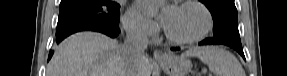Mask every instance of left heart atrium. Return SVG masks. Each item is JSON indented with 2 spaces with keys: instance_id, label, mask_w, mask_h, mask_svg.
<instances>
[{
  "instance_id": "1",
  "label": "left heart atrium",
  "mask_w": 287,
  "mask_h": 76,
  "mask_svg": "<svg viewBox=\"0 0 287 76\" xmlns=\"http://www.w3.org/2000/svg\"><path fill=\"white\" fill-rule=\"evenodd\" d=\"M150 3H151L150 1H142L141 6L147 7ZM174 12H175V7L172 5H167L163 7L161 14H160V20L164 26H166V24L169 22Z\"/></svg>"
}]
</instances>
